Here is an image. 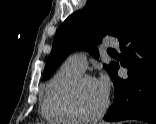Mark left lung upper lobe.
<instances>
[{
    "mask_svg": "<svg viewBox=\"0 0 156 124\" xmlns=\"http://www.w3.org/2000/svg\"><path fill=\"white\" fill-rule=\"evenodd\" d=\"M150 0H88L82 11L70 15L56 31L52 51L47 59L43 78L47 80L74 50H87L98 58V45L105 35L117 38L139 19ZM96 13L100 18L91 20ZM116 63L104 65L109 74Z\"/></svg>",
    "mask_w": 156,
    "mask_h": 124,
    "instance_id": "obj_1",
    "label": "left lung upper lobe"
}]
</instances>
